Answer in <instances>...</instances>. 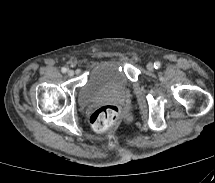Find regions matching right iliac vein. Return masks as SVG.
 Instances as JSON below:
<instances>
[{
  "label": "right iliac vein",
  "instance_id": "63e3f726",
  "mask_svg": "<svg viewBox=\"0 0 215 183\" xmlns=\"http://www.w3.org/2000/svg\"><path fill=\"white\" fill-rule=\"evenodd\" d=\"M67 74L68 76L72 77L74 76L75 72L73 70H68Z\"/></svg>",
  "mask_w": 215,
  "mask_h": 183
}]
</instances>
